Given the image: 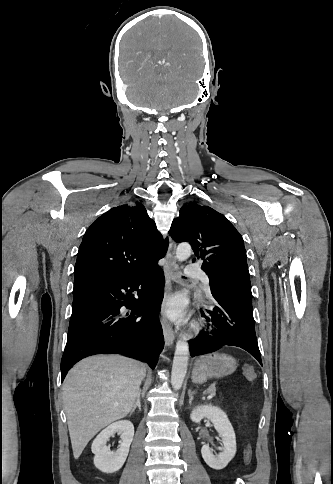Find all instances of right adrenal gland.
<instances>
[{"label": "right adrenal gland", "instance_id": "1", "mask_svg": "<svg viewBox=\"0 0 333 484\" xmlns=\"http://www.w3.org/2000/svg\"><path fill=\"white\" fill-rule=\"evenodd\" d=\"M140 396H141V391H139L138 395H137V399H136V402L134 403L133 407H132V410L130 412V416L133 414V412L135 411V409L138 407L139 411H141V403H140Z\"/></svg>", "mask_w": 333, "mask_h": 484}]
</instances>
